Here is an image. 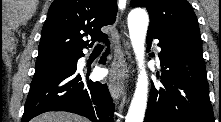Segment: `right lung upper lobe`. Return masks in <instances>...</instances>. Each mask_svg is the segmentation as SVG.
I'll list each match as a JSON object with an SVG mask.
<instances>
[{
	"label": "right lung upper lobe",
	"instance_id": "right-lung-upper-lobe-1",
	"mask_svg": "<svg viewBox=\"0 0 221 122\" xmlns=\"http://www.w3.org/2000/svg\"><path fill=\"white\" fill-rule=\"evenodd\" d=\"M116 0H54L44 23L37 60L79 56L82 49L107 36L101 28L115 22Z\"/></svg>",
	"mask_w": 221,
	"mask_h": 122
}]
</instances>
